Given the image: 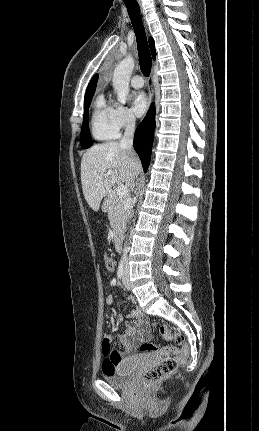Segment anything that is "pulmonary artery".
Here are the masks:
<instances>
[{"label": "pulmonary artery", "mask_w": 259, "mask_h": 431, "mask_svg": "<svg viewBox=\"0 0 259 431\" xmlns=\"http://www.w3.org/2000/svg\"><path fill=\"white\" fill-rule=\"evenodd\" d=\"M131 85L136 89L142 88L144 85V80L140 75H134L131 78Z\"/></svg>", "instance_id": "1"}]
</instances>
